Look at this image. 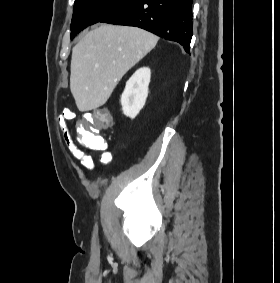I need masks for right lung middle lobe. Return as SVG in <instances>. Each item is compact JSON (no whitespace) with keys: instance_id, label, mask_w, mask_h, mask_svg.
<instances>
[{"instance_id":"dd1d6c3e","label":"right lung middle lobe","mask_w":280,"mask_h":283,"mask_svg":"<svg viewBox=\"0 0 280 283\" xmlns=\"http://www.w3.org/2000/svg\"><path fill=\"white\" fill-rule=\"evenodd\" d=\"M132 0H75L71 21V39L89 25L101 22L106 17L127 5Z\"/></svg>"}]
</instances>
